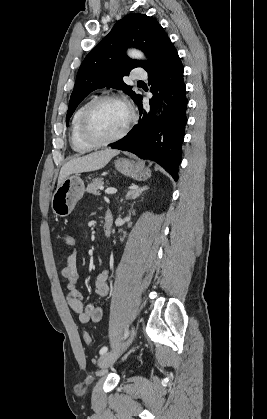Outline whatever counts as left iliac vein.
<instances>
[{
  "label": "left iliac vein",
  "instance_id": "1",
  "mask_svg": "<svg viewBox=\"0 0 267 419\" xmlns=\"http://www.w3.org/2000/svg\"><path fill=\"white\" fill-rule=\"evenodd\" d=\"M134 334H135V331H134V328H133L131 339L129 340V342L125 346H123L122 348L116 349V350L111 351V352L104 353L99 358L98 366L101 369H105V368L109 367L110 365H112L118 359V357L123 353V351L127 348V346L131 343Z\"/></svg>",
  "mask_w": 267,
  "mask_h": 419
}]
</instances>
